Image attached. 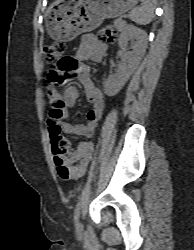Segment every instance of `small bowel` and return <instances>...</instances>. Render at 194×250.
I'll list each match as a JSON object with an SVG mask.
<instances>
[{
  "label": "small bowel",
  "mask_w": 194,
  "mask_h": 250,
  "mask_svg": "<svg viewBox=\"0 0 194 250\" xmlns=\"http://www.w3.org/2000/svg\"><path fill=\"white\" fill-rule=\"evenodd\" d=\"M107 46L94 34H85L73 57H65L64 63H59L53 70L63 74L66 80L77 79L84 87L87 100L92 108L87 112L83 124L71 125L63 122L70 109L74 107L79 97L76 86H67L62 95L49 87L51 108L48 117L49 134L67 133L75 136L90 138L94 134L104 109V90L94 85L90 78V68L86 61L101 62L106 53ZM61 101L62 107L57 106ZM94 144L90 140L79 143L75 154L66 159V164L71 172L68 179L81 178L92 159Z\"/></svg>",
  "instance_id": "small-bowel-1"
}]
</instances>
